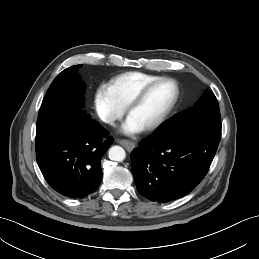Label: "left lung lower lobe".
<instances>
[{
    "mask_svg": "<svg viewBox=\"0 0 259 259\" xmlns=\"http://www.w3.org/2000/svg\"><path fill=\"white\" fill-rule=\"evenodd\" d=\"M221 139V123L188 122L169 133L141 141L131 153L138 192L169 202L192 191L205 177Z\"/></svg>",
    "mask_w": 259,
    "mask_h": 259,
    "instance_id": "1",
    "label": "left lung lower lobe"
}]
</instances>
